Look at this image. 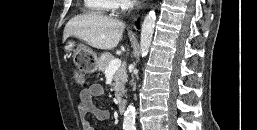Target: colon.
<instances>
[{
	"label": "colon",
	"mask_w": 257,
	"mask_h": 130,
	"mask_svg": "<svg viewBox=\"0 0 257 130\" xmlns=\"http://www.w3.org/2000/svg\"><path fill=\"white\" fill-rule=\"evenodd\" d=\"M73 78L78 85H85L86 83L84 74L78 69L73 70Z\"/></svg>",
	"instance_id": "5ec220e1"
}]
</instances>
